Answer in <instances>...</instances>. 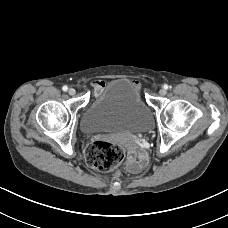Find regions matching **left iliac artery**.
<instances>
[{
	"label": "left iliac artery",
	"instance_id": "obj_1",
	"mask_svg": "<svg viewBox=\"0 0 228 228\" xmlns=\"http://www.w3.org/2000/svg\"><path fill=\"white\" fill-rule=\"evenodd\" d=\"M164 89H168V85L167 84L164 85Z\"/></svg>",
	"mask_w": 228,
	"mask_h": 228
}]
</instances>
